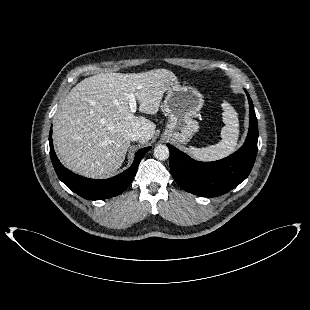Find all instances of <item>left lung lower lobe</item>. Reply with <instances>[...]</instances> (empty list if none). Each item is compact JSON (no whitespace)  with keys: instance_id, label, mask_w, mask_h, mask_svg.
<instances>
[{"instance_id":"obj_1","label":"left lung lower lobe","mask_w":310,"mask_h":310,"mask_svg":"<svg viewBox=\"0 0 310 310\" xmlns=\"http://www.w3.org/2000/svg\"><path fill=\"white\" fill-rule=\"evenodd\" d=\"M249 101V131L244 145L232 155L214 162L193 160L177 148L170 150V170L176 183L185 191L216 197L227 193L247 178L257 154L258 127L252 100Z\"/></svg>"}]
</instances>
